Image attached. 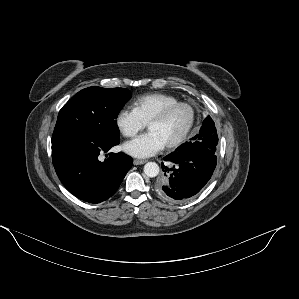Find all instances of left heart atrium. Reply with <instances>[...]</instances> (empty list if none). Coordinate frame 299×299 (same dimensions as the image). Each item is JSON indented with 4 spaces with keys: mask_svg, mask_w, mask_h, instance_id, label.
<instances>
[{
    "mask_svg": "<svg viewBox=\"0 0 299 299\" xmlns=\"http://www.w3.org/2000/svg\"><path fill=\"white\" fill-rule=\"evenodd\" d=\"M162 139L154 132H148L137 138L126 142L123 150L134 157L146 158L155 155L164 148Z\"/></svg>",
    "mask_w": 299,
    "mask_h": 299,
    "instance_id": "left-heart-atrium-1",
    "label": "left heart atrium"
}]
</instances>
